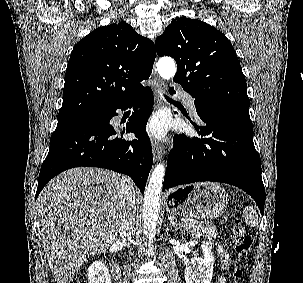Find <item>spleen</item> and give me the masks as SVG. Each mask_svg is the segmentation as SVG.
I'll list each match as a JSON object with an SVG mask.
<instances>
[{
	"instance_id": "1",
	"label": "spleen",
	"mask_w": 303,
	"mask_h": 283,
	"mask_svg": "<svg viewBox=\"0 0 303 283\" xmlns=\"http://www.w3.org/2000/svg\"><path fill=\"white\" fill-rule=\"evenodd\" d=\"M243 214L247 225L250 227H256L258 225V215L252 206H246Z\"/></svg>"
}]
</instances>
